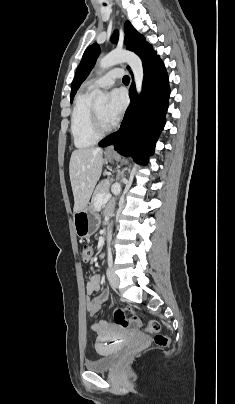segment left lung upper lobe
<instances>
[{
	"mask_svg": "<svg viewBox=\"0 0 235 404\" xmlns=\"http://www.w3.org/2000/svg\"><path fill=\"white\" fill-rule=\"evenodd\" d=\"M124 29H125L124 43L127 46L128 50L135 52L141 59L145 58L146 56L154 52L152 46L149 43H147L144 37L134 29V27L129 21L125 23ZM111 39L114 43L117 42L118 40L117 30L114 31ZM99 53L100 48L98 44H92L86 49L82 57V60L77 68L75 77L71 85V95H70L71 102L73 101L74 95L76 94V91L78 90L79 86L89 75L91 69L93 68L96 62Z\"/></svg>",
	"mask_w": 235,
	"mask_h": 404,
	"instance_id": "left-lung-upper-lobe-1",
	"label": "left lung upper lobe"
}]
</instances>
